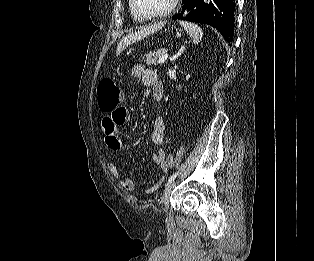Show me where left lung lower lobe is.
<instances>
[{
    "label": "left lung lower lobe",
    "mask_w": 314,
    "mask_h": 261,
    "mask_svg": "<svg viewBox=\"0 0 314 261\" xmlns=\"http://www.w3.org/2000/svg\"><path fill=\"white\" fill-rule=\"evenodd\" d=\"M182 12L172 19L208 24L216 28L227 42L234 37L235 0H183ZM190 11L186 16L183 11Z\"/></svg>",
    "instance_id": "obj_1"
}]
</instances>
